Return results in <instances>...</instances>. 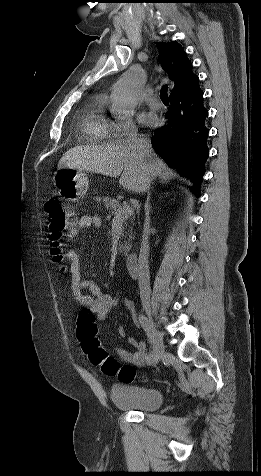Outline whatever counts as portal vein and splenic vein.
<instances>
[{"mask_svg":"<svg viewBox=\"0 0 261 476\" xmlns=\"http://www.w3.org/2000/svg\"><path fill=\"white\" fill-rule=\"evenodd\" d=\"M133 213H134L133 208L129 204L124 202L121 210H119L115 214L113 221H122L128 218L129 216H131Z\"/></svg>","mask_w":261,"mask_h":476,"instance_id":"18ae733b","label":"portal vein and splenic vein"}]
</instances>
